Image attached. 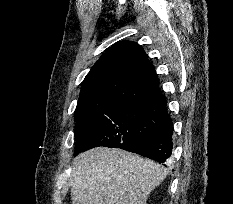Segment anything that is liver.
<instances>
[{
    "label": "liver",
    "mask_w": 233,
    "mask_h": 204,
    "mask_svg": "<svg viewBox=\"0 0 233 204\" xmlns=\"http://www.w3.org/2000/svg\"><path fill=\"white\" fill-rule=\"evenodd\" d=\"M165 168L121 149L97 147L79 154L70 175L72 204H147Z\"/></svg>",
    "instance_id": "1"
}]
</instances>
